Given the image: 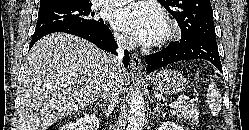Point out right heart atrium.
Wrapping results in <instances>:
<instances>
[{"label": "right heart atrium", "mask_w": 249, "mask_h": 130, "mask_svg": "<svg viewBox=\"0 0 249 130\" xmlns=\"http://www.w3.org/2000/svg\"><path fill=\"white\" fill-rule=\"evenodd\" d=\"M116 39L118 40V42L122 43V44H127L128 43V38L125 37L124 35L121 34H115Z\"/></svg>", "instance_id": "1"}]
</instances>
